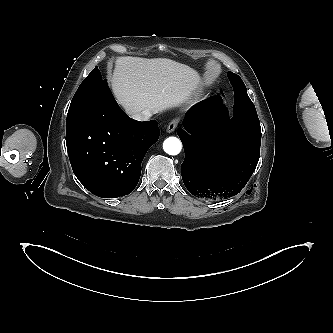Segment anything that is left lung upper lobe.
<instances>
[{
	"instance_id": "obj_1",
	"label": "left lung upper lobe",
	"mask_w": 333,
	"mask_h": 333,
	"mask_svg": "<svg viewBox=\"0 0 333 333\" xmlns=\"http://www.w3.org/2000/svg\"><path fill=\"white\" fill-rule=\"evenodd\" d=\"M228 78L233 86L235 100L245 102L248 106L255 108L247 95L246 87L241 78L232 72H228Z\"/></svg>"
}]
</instances>
